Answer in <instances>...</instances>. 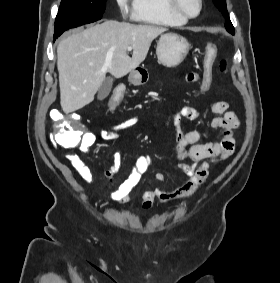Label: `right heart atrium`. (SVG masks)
Wrapping results in <instances>:
<instances>
[{"instance_id": "right-heart-atrium-1", "label": "right heart atrium", "mask_w": 280, "mask_h": 283, "mask_svg": "<svg viewBox=\"0 0 280 283\" xmlns=\"http://www.w3.org/2000/svg\"><path fill=\"white\" fill-rule=\"evenodd\" d=\"M134 0H116L117 6L123 15L129 14L133 9Z\"/></svg>"}]
</instances>
